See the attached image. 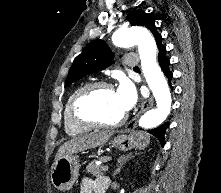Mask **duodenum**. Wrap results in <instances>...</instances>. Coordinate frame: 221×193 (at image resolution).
<instances>
[{
	"label": "duodenum",
	"instance_id": "obj_1",
	"mask_svg": "<svg viewBox=\"0 0 221 193\" xmlns=\"http://www.w3.org/2000/svg\"><path fill=\"white\" fill-rule=\"evenodd\" d=\"M95 193H105V191L102 190V189H98V190L95 191Z\"/></svg>",
	"mask_w": 221,
	"mask_h": 193
}]
</instances>
